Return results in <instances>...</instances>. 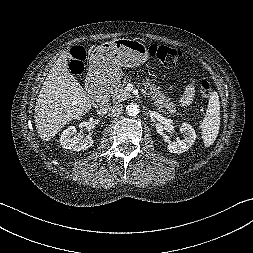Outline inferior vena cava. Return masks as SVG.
Wrapping results in <instances>:
<instances>
[{
  "label": "inferior vena cava",
  "instance_id": "602c4592",
  "mask_svg": "<svg viewBox=\"0 0 253 253\" xmlns=\"http://www.w3.org/2000/svg\"><path fill=\"white\" fill-rule=\"evenodd\" d=\"M123 109L122 104H114L112 106L104 105L99 109V112L107 113L109 116H116L121 113Z\"/></svg>",
  "mask_w": 253,
  "mask_h": 253
}]
</instances>
